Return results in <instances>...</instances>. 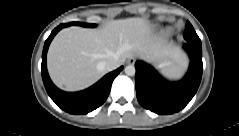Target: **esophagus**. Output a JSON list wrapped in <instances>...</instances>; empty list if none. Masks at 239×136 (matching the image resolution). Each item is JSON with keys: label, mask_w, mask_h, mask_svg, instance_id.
<instances>
[{"label": "esophagus", "mask_w": 239, "mask_h": 136, "mask_svg": "<svg viewBox=\"0 0 239 136\" xmlns=\"http://www.w3.org/2000/svg\"><path fill=\"white\" fill-rule=\"evenodd\" d=\"M134 62H135L134 58L131 57L128 59V64H134Z\"/></svg>", "instance_id": "esophagus-1"}]
</instances>
